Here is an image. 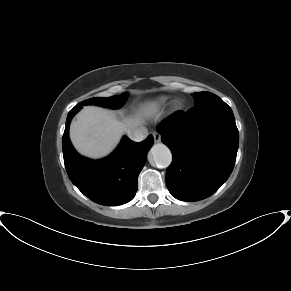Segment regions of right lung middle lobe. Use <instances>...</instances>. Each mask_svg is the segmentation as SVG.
<instances>
[{
    "label": "right lung middle lobe",
    "mask_w": 291,
    "mask_h": 291,
    "mask_svg": "<svg viewBox=\"0 0 291 291\" xmlns=\"http://www.w3.org/2000/svg\"><path fill=\"white\" fill-rule=\"evenodd\" d=\"M127 93L112 96V97H95L91 99H87L85 101L80 102L77 104V107H82L84 105H98L103 107L109 108H120L127 99Z\"/></svg>",
    "instance_id": "1"
}]
</instances>
